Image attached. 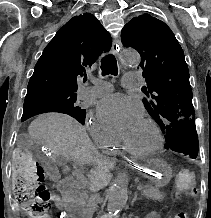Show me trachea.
<instances>
[{
	"label": "trachea",
	"mask_w": 211,
	"mask_h": 218,
	"mask_svg": "<svg viewBox=\"0 0 211 218\" xmlns=\"http://www.w3.org/2000/svg\"><path fill=\"white\" fill-rule=\"evenodd\" d=\"M101 71L102 75H118V67H117V61L114 55L108 54L101 60ZM86 77L84 78V81H86Z\"/></svg>",
	"instance_id": "1"
}]
</instances>
